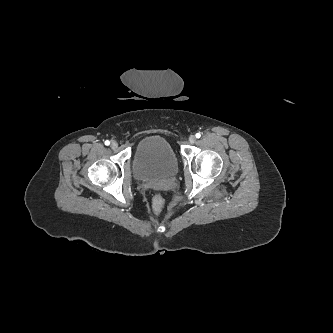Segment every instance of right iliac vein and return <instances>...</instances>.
<instances>
[{
	"mask_svg": "<svg viewBox=\"0 0 333 333\" xmlns=\"http://www.w3.org/2000/svg\"><path fill=\"white\" fill-rule=\"evenodd\" d=\"M118 147V143L116 141L111 142V148L116 149Z\"/></svg>",
	"mask_w": 333,
	"mask_h": 333,
	"instance_id": "1",
	"label": "right iliac vein"
}]
</instances>
